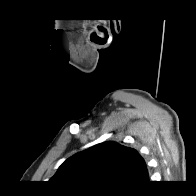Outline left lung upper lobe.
I'll return each instance as SVG.
<instances>
[{"mask_svg":"<svg viewBox=\"0 0 196 196\" xmlns=\"http://www.w3.org/2000/svg\"><path fill=\"white\" fill-rule=\"evenodd\" d=\"M137 150L107 141L65 160L50 179L57 188L82 193H128L148 182Z\"/></svg>","mask_w":196,"mask_h":196,"instance_id":"1","label":"left lung upper lobe"}]
</instances>
